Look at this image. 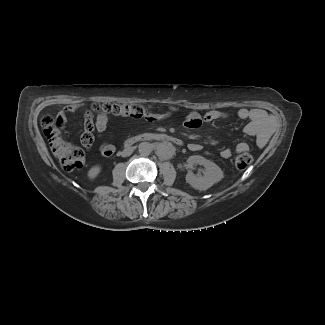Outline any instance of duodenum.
Segmentation results:
<instances>
[{"label": "duodenum", "mask_w": 325, "mask_h": 325, "mask_svg": "<svg viewBox=\"0 0 325 325\" xmlns=\"http://www.w3.org/2000/svg\"><path fill=\"white\" fill-rule=\"evenodd\" d=\"M145 141H155V142H161V143H170L176 146H181L183 144L182 140L179 138L162 133V132H154V133H144L140 135H136L133 137H130L129 139L126 140L125 142V147H130L135 144H138L140 142H145Z\"/></svg>", "instance_id": "obj_1"}]
</instances>
